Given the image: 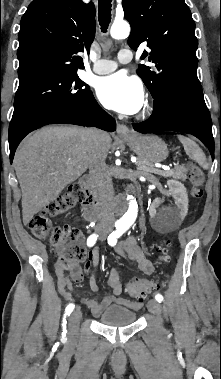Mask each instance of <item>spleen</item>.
Returning a JSON list of instances; mask_svg holds the SVG:
<instances>
[{
  "mask_svg": "<svg viewBox=\"0 0 221 379\" xmlns=\"http://www.w3.org/2000/svg\"><path fill=\"white\" fill-rule=\"evenodd\" d=\"M178 139L183 144L188 157L197 162L203 169H207V160L200 147L193 140L185 136L179 135Z\"/></svg>",
  "mask_w": 221,
  "mask_h": 379,
  "instance_id": "spleen-1",
  "label": "spleen"
}]
</instances>
